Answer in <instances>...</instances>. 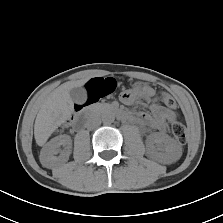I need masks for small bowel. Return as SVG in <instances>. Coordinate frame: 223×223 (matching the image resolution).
Segmentation results:
<instances>
[{"mask_svg":"<svg viewBox=\"0 0 223 223\" xmlns=\"http://www.w3.org/2000/svg\"><path fill=\"white\" fill-rule=\"evenodd\" d=\"M137 98L141 99L149 107L151 114L140 113L136 117L131 116V121H137L158 131H164L167 123L176 120V113L163 107L158 102L154 89L150 87L135 93H124L121 96V101L125 104H131Z\"/></svg>","mask_w":223,"mask_h":223,"instance_id":"small-bowel-1","label":"small bowel"}]
</instances>
